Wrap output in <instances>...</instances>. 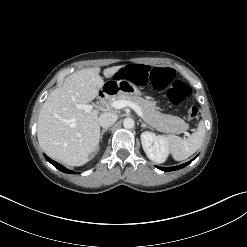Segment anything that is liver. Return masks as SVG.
Instances as JSON below:
<instances>
[{"label":"liver","mask_w":247,"mask_h":247,"mask_svg":"<svg viewBox=\"0 0 247 247\" xmlns=\"http://www.w3.org/2000/svg\"><path fill=\"white\" fill-rule=\"evenodd\" d=\"M123 66L106 68V78ZM100 68H89L68 76L44 102L38 119L37 137L46 154L70 166H82L90 159L100 140L98 110L86 113L77 104L95 99L104 85Z\"/></svg>","instance_id":"1"}]
</instances>
